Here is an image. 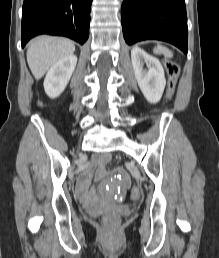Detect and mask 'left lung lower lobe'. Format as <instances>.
<instances>
[{
  "label": "left lung lower lobe",
  "instance_id": "left-lung-lower-lobe-1",
  "mask_svg": "<svg viewBox=\"0 0 219 258\" xmlns=\"http://www.w3.org/2000/svg\"><path fill=\"white\" fill-rule=\"evenodd\" d=\"M121 21L128 45L143 40H162L187 54L188 30L184 0H124Z\"/></svg>",
  "mask_w": 219,
  "mask_h": 258
}]
</instances>
